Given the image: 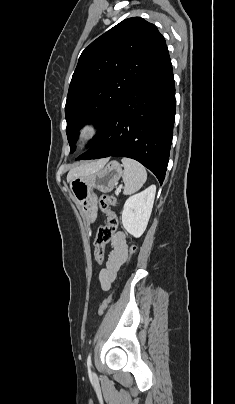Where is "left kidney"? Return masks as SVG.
<instances>
[{"mask_svg":"<svg viewBox=\"0 0 235 404\" xmlns=\"http://www.w3.org/2000/svg\"><path fill=\"white\" fill-rule=\"evenodd\" d=\"M156 186L151 185L144 191L129 197L122 212L124 229L136 238L146 230L155 199Z\"/></svg>","mask_w":235,"mask_h":404,"instance_id":"left-kidney-1","label":"left kidney"}]
</instances>
